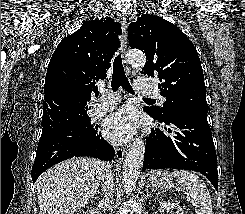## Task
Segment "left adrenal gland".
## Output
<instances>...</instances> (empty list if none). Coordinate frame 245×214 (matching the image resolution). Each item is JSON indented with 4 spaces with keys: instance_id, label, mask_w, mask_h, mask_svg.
<instances>
[{
    "instance_id": "1",
    "label": "left adrenal gland",
    "mask_w": 245,
    "mask_h": 214,
    "mask_svg": "<svg viewBox=\"0 0 245 214\" xmlns=\"http://www.w3.org/2000/svg\"><path fill=\"white\" fill-rule=\"evenodd\" d=\"M150 187V185H149V183H147V186H146V191H147V193H148V188ZM152 191H153V189H152Z\"/></svg>"
}]
</instances>
